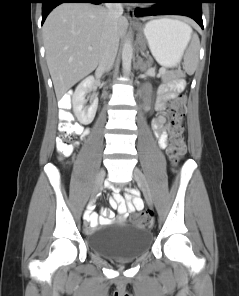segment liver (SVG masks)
Wrapping results in <instances>:
<instances>
[{
  "label": "liver",
  "mask_w": 239,
  "mask_h": 296,
  "mask_svg": "<svg viewBox=\"0 0 239 296\" xmlns=\"http://www.w3.org/2000/svg\"><path fill=\"white\" fill-rule=\"evenodd\" d=\"M110 25L107 9L91 3H63L48 15L42 29L43 41L58 99L95 70ZM112 27L119 38L123 37L128 27L126 17L113 21Z\"/></svg>",
  "instance_id": "1"
}]
</instances>
